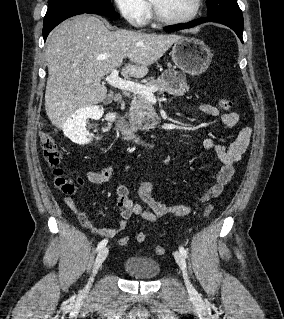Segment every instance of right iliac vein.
<instances>
[{"instance_id": "obj_1", "label": "right iliac vein", "mask_w": 284, "mask_h": 319, "mask_svg": "<svg viewBox=\"0 0 284 319\" xmlns=\"http://www.w3.org/2000/svg\"><path fill=\"white\" fill-rule=\"evenodd\" d=\"M108 252H109L108 248L104 247L97 254V257H96L94 265H93L92 276L90 277L89 282H88V284L86 286V291L91 287L93 279H94V276L97 273V271L100 268V266L102 265V263L104 262V260L106 259L107 255H108Z\"/></svg>"}]
</instances>
